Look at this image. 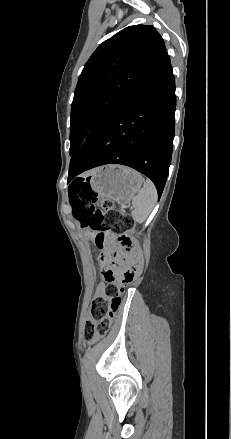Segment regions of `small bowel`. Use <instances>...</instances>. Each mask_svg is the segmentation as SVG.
Here are the masks:
<instances>
[{
    "label": "small bowel",
    "mask_w": 231,
    "mask_h": 439,
    "mask_svg": "<svg viewBox=\"0 0 231 439\" xmlns=\"http://www.w3.org/2000/svg\"><path fill=\"white\" fill-rule=\"evenodd\" d=\"M111 238L109 239V244L107 245V251H106V253L104 254V258H103V267L104 268H106V258H107V256H109L110 254H111ZM102 291V287L100 286L98 289H97V292L98 293H100Z\"/></svg>",
    "instance_id": "c3829d8e"
}]
</instances>
